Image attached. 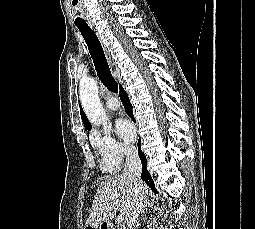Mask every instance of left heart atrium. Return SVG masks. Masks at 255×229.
<instances>
[{
  "label": "left heart atrium",
  "mask_w": 255,
  "mask_h": 229,
  "mask_svg": "<svg viewBox=\"0 0 255 229\" xmlns=\"http://www.w3.org/2000/svg\"><path fill=\"white\" fill-rule=\"evenodd\" d=\"M116 133L126 142H131L135 138V129L132 123L124 118H119L115 125Z\"/></svg>",
  "instance_id": "obj_1"
}]
</instances>
